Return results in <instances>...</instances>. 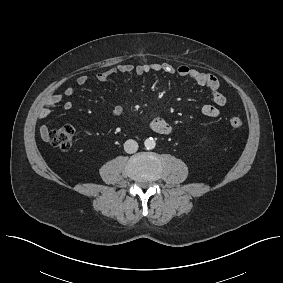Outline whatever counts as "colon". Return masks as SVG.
<instances>
[{
	"mask_svg": "<svg viewBox=\"0 0 283 283\" xmlns=\"http://www.w3.org/2000/svg\"><path fill=\"white\" fill-rule=\"evenodd\" d=\"M243 121L240 117L234 116L229 119V125L232 128H240ZM75 136V128L66 124L58 128L50 130L46 137L48 142L60 150H68L71 148Z\"/></svg>",
	"mask_w": 283,
	"mask_h": 283,
	"instance_id": "1",
	"label": "colon"
}]
</instances>
